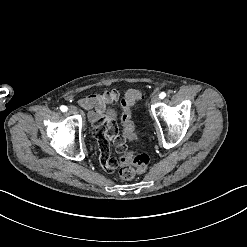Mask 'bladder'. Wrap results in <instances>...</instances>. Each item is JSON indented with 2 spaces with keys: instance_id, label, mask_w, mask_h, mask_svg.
<instances>
[{
  "instance_id": "1",
  "label": "bladder",
  "mask_w": 247,
  "mask_h": 247,
  "mask_svg": "<svg viewBox=\"0 0 247 247\" xmlns=\"http://www.w3.org/2000/svg\"><path fill=\"white\" fill-rule=\"evenodd\" d=\"M105 114H106L107 116H110V115H111V112H110L109 110H107V111H105Z\"/></svg>"
}]
</instances>
